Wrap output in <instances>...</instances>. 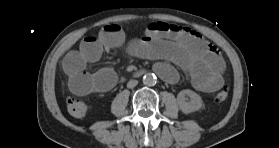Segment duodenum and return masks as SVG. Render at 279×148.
<instances>
[{"label": "duodenum", "instance_id": "duodenum-1", "mask_svg": "<svg viewBox=\"0 0 279 148\" xmlns=\"http://www.w3.org/2000/svg\"><path fill=\"white\" fill-rule=\"evenodd\" d=\"M141 75H142V72H141V71L136 72V73L134 74L135 77H140Z\"/></svg>", "mask_w": 279, "mask_h": 148}]
</instances>
